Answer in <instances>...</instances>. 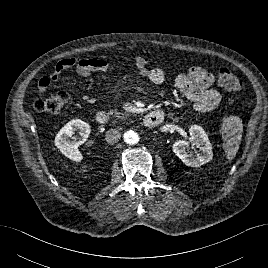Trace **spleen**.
<instances>
[{
  "instance_id": "spleen-1",
  "label": "spleen",
  "mask_w": 268,
  "mask_h": 268,
  "mask_svg": "<svg viewBox=\"0 0 268 268\" xmlns=\"http://www.w3.org/2000/svg\"><path fill=\"white\" fill-rule=\"evenodd\" d=\"M224 139V151L228 160H232L238 152L242 139L243 123L240 117L230 116L221 126Z\"/></svg>"
}]
</instances>
